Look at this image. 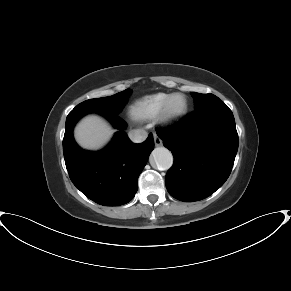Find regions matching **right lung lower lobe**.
I'll list each match as a JSON object with an SVG mask.
<instances>
[{"label":"right lung lower lobe","mask_w":291,"mask_h":291,"mask_svg":"<svg viewBox=\"0 0 291 291\" xmlns=\"http://www.w3.org/2000/svg\"><path fill=\"white\" fill-rule=\"evenodd\" d=\"M93 110L73 109L66 118L63 152L73 184L86 197L104 206H119L133 199L138 177L154 148L153 136L132 143L124 132L126 124L117 114L95 111L118 129L111 143L99 152L81 149L73 138L76 122Z\"/></svg>","instance_id":"obj_1"}]
</instances>
